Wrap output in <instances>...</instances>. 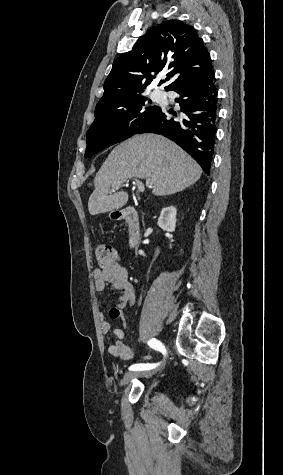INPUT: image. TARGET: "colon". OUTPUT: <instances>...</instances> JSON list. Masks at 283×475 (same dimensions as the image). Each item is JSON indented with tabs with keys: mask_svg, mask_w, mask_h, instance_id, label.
Masks as SVG:
<instances>
[{
	"mask_svg": "<svg viewBox=\"0 0 283 475\" xmlns=\"http://www.w3.org/2000/svg\"><path fill=\"white\" fill-rule=\"evenodd\" d=\"M95 256L100 267H115L118 263V255L115 249L107 244L98 245Z\"/></svg>",
	"mask_w": 283,
	"mask_h": 475,
	"instance_id": "colon-1",
	"label": "colon"
}]
</instances>
